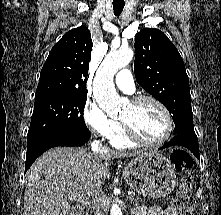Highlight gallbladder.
Instances as JSON below:
<instances>
[{
    "label": "gallbladder",
    "mask_w": 221,
    "mask_h": 215,
    "mask_svg": "<svg viewBox=\"0 0 221 215\" xmlns=\"http://www.w3.org/2000/svg\"><path fill=\"white\" fill-rule=\"evenodd\" d=\"M71 212L73 213V215H81V210L76 207L72 208Z\"/></svg>",
    "instance_id": "gallbladder-1"
}]
</instances>
